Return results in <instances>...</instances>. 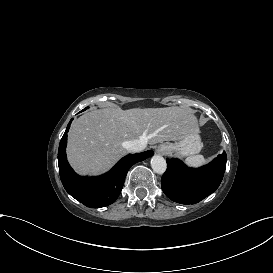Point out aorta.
Instances as JSON below:
<instances>
[{
  "label": "aorta",
  "instance_id": "1",
  "mask_svg": "<svg viewBox=\"0 0 273 273\" xmlns=\"http://www.w3.org/2000/svg\"><path fill=\"white\" fill-rule=\"evenodd\" d=\"M151 167L154 172L163 174L167 169L166 160L160 155H154L151 158Z\"/></svg>",
  "mask_w": 273,
  "mask_h": 273
}]
</instances>
